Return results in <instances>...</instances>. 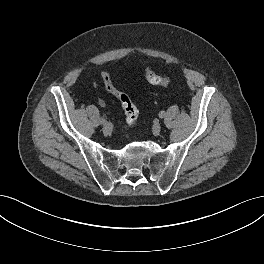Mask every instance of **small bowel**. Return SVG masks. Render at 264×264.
I'll return each instance as SVG.
<instances>
[{
  "mask_svg": "<svg viewBox=\"0 0 264 264\" xmlns=\"http://www.w3.org/2000/svg\"><path fill=\"white\" fill-rule=\"evenodd\" d=\"M99 104H100L101 106H105V102H104L103 100H100V101H99Z\"/></svg>",
  "mask_w": 264,
  "mask_h": 264,
  "instance_id": "c3829d8e",
  "label": "small bowel"
}]
</instances>
